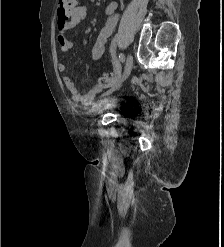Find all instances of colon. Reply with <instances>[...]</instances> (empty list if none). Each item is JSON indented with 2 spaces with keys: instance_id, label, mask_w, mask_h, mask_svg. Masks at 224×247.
<instances>
[{
  "instance_id": "colon-1",
  "label": "colon",
  "mask_w": 224,
  "mask_h": 247,
  "mask_svg": "<svg viewBox=\"0 0 224 247\" xmlns=\"http://www.w3.org/2000/svg\"><path fill=\"white\" fill-rule=\"evenodd\" d=\"M77 2L78 0H59L57 15L60 29L66 27L68 20L77 8ZM113 83L114 78L110 75H103L99 78V84L102 87H110Z\"/></svg>"
}]
</instances>
